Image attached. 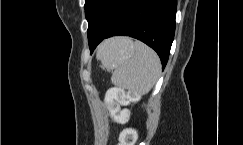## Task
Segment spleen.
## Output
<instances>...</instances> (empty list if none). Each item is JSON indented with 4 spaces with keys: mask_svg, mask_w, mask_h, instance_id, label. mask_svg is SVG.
<instances>
[{
    "mask_svg": "<svg viewBox=\"0 0 243 145\" xmlns=\"http://www.w3.org/2000/svg\"><path fill=\"white\" fill-rule=\"evenodd\" d=\"M133 55L121 62L112 72L111 82L136 94L148 93L161 73V62L156 52L137 41L133 43Z\"/></svg>",
    "mask_w": 243,
    "mask_h": 145,
    "instance_id": "1",
    "label": "spleen"
}]
</instances>
